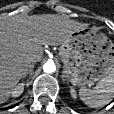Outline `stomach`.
I'll return each instance as SVG.
<instances>
[{"label":"stomach","instance_id":"obj_1","mask_svg":"<svg viewBox=\"0 0 114 114\" xmlns=\"http://www.w3.org/2000/svg\"><path fill=\"white\" fill-rule=\"evenodd\" d=\"M59 56L67 79L74 85L89 86L114 70V44L88 26L70 33L60 46Z\"/></svg>","mask_w":114,"mask_h":114}]
</instances>
